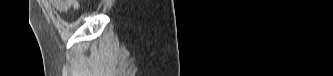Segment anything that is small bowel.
I'll return each mask as SVG.
<instances>
[{"label":"small bowel","instance_id":"c3829d8e","mask_svg":"<svg viewBox=\"0 0 333 76\" xmlns=\"http://www.w3.org/2000/svg\"><path fill=\"white\" fill-rule=\"evenodd\" d=\"M48 3L54 11L58 12L77 11L80 8L78 0H49Z\"/></svg>","mask_w":333,"mask_h":76}]
</instances>
